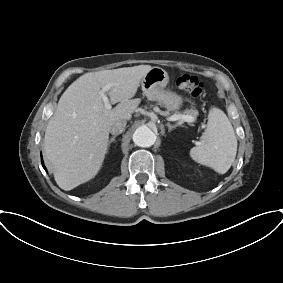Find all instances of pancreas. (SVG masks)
<instances>
[{"mask_svg":"<svg viewBox=\"0 0 283 283\" xmlns=\"http://www.w3.org/2000/svg\"><path fill=\"white\" fill-rule=\"evenodd\" d=\"M185 113H187V114H190V115H192V116H197V111L196 110H187V111H185Z\"/></svg>","mask_w":283,"mask_h":283,"instance_id":"obj_1","label":"pancreas"}]
</instances>
